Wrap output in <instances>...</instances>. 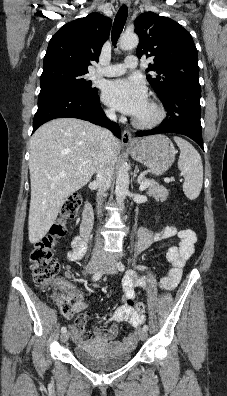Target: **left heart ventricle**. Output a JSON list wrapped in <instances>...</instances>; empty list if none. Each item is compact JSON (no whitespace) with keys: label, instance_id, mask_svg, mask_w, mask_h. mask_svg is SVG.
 <instances>
[{"label":"left heart ventricle","instance_id":"left-heart-ventricle-1","mask_svg":"<svg viewBox=\"0 0 227 396\" xmlns=\"http://www.w3.org/2000/svg\"><path fill=\"white\" fill-rule=\"evenodd\" d=\"M155 112L149 103L144 107V109L136 116V118L141 120H148L154 116Z\"/></svg>","mask_w":227,"mask_h":396}]
</instances>
